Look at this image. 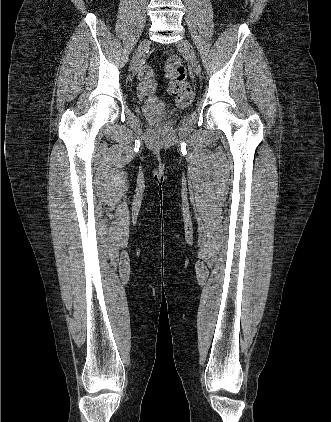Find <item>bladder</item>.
<instances>
[{"instance_id":"1","label":"bladder","mask_w":331,"mask_h":422,"mask_svg":"<svg viewBox=\"0 0 331 422\" xmlns=\"http://www.w3.org/2000/svg\"><path fill=\"white\" fill-rule=\"evenodd\" d=\"M144 107L139 108V112L145 118L152 121H162L172 117V114L162 107L156 99H151Z\"/></svg>"}]
</instances>
